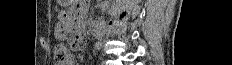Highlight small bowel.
<instances>
[{
  "label": "small bowel",
  "mask_w": 232,
  "mask_h": 65,
  "mask_svg": "<svg viewBox=\"0 0 232 65\" xmlns=\"http://www.w3.org/2000/svg\"><path fill=\"white\" fill-rule=\"evenodd\" d=\"M78 15V12H58V16L55 17V20L59 23L58 29L54 30V37H60L61 45H70V47L76 48L84 45L82 40L77 39L79 34L74 35V32H72V30H75L74 23H68V17H78ZM58 65H74V58L69 56L65 62Z\"/></svg>",
  "instance_id": "small-bowel-1"
}]
</instances>
